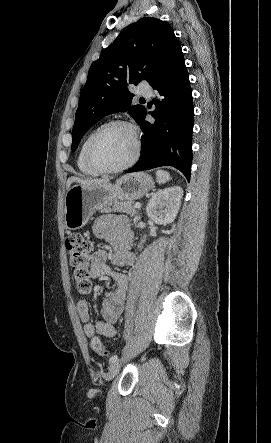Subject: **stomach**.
Masks as SVG:
<instances>
[{
    "label": "stomach",
    "instance_id": "stomach-1",
    "mask_svg": "<svg viewBox=\"0 0 271 443\" xmlns=\"http://www.w3.org/2000/svg\"><path fill=\"white\" fill-rule=\"evenodd\" d=\"M152 188L154 182L145 172L121 176L116 184H96V186L76 184L65 196L64 225L66 229H80L96 210L112 206L117 200H128V202L139 200Z\"/></svg>",
    "mask_w": 271,
    "mask_h": 443
}]
</instances>
